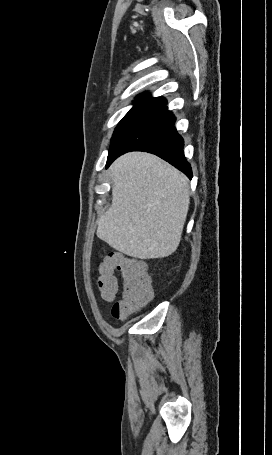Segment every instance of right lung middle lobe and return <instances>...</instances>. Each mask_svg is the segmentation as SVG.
<instances>
[{
	"instance_id": "1",
	"label": "right lung middle lobe",
	"mask_w": 272,
	"mask_h": 455,
	"mask_svg": "<svg viewBox=\"0 0 272 455\" xmlns=\"http://www.w3.org/2000/svg\"><path fill=\"white\" fill-rule=\"evenodd\" d=\"M165 107L164 103L135 101L133 108L125 115L116 127L110 150L132 129L148 120Z\"/></svg>"
}]
</instances>
